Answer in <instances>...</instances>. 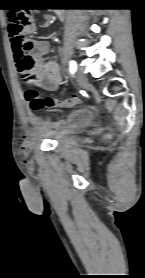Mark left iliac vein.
Returning <instances> with one entry per match:
<instances>
[{
    "instance_id": "1",
    "label": "left iliac vein",
    "mask_w": 145,
    "mask_h": 278,
    "mask_svg": "<svg viewBox=\"0 0 145 278\" xmlns=\"http://www.w3.org/2000/svg\"><path fill=\"white\" fill-rule=\"evenodd\" d=\"M76 80L79 83H86L87 82L86 74H85V72H84V70L82 68L77 70V72H76Z\"/></svg>"
}]
</instances>
